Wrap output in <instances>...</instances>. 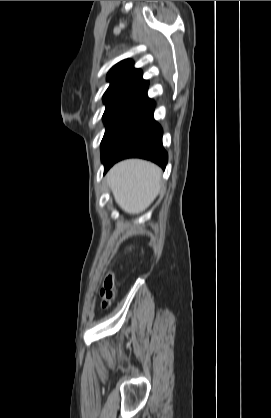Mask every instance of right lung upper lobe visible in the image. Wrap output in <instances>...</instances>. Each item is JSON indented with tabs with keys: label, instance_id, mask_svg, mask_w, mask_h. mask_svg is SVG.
Wrapping results in <instances>:
<instances>
[{
	"label": "right lung upper lobe",
	"instance_id": "cb5924a9",
	"mask_svg": "<svg viewBox=\"0 0 271 418\" xmlns=\"http://www.w3.org/2000/svg\"><path fill=\"white\" fill-rule=\"evenodd\" d=\"M110 86L106 90L104 102L134 100L155 105L147 97L148 81L142 79V71L135 69L129 59L116 64L108 73Z\"/></svg>",
	"mask_w": 271,
	"mask_h": 418
}]
</instances>
